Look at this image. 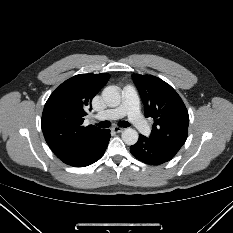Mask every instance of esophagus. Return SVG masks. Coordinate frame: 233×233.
Listing matches in <instances>:
<instances>
[{"label":"esophagus","mask_w":233,"mask_h":233,"mask_svg":"<svg viewBox=\"0 0 233 233\" xmlns=\"http://www.w3.org/2000/svg\"><path fill=\"white\" fill-rule=\"evenodd\" d=\"M112 130H113L114 132L120 133V132H122V131L124 130V128L118 127V126H113V127H112Z\"/></svg>","instance_id":"1"}]
</instances>
